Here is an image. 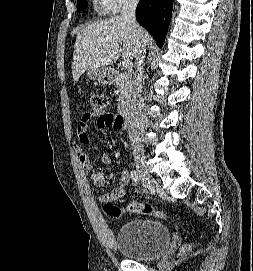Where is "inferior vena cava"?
I'll use <instances>...</instances> for the list:
<instances>
[{"label":"inferior vena cava","instance_id":"inferior-vena-cava-1","mask_svg":"<svg viewBox=\"0 0 253 271\" xmlns=\"http://www.w3.org/2000/svg\"><path fill=\"white\" fill-rule=\"evenodd\" d=\"M139 0H124L121 18L127 22L135 32V37L138 40V54L136 56V71L135 80L132 90V98L127 108L128 118V135L130 138L132 150L134 153H138L142 150L141 138H140V124L142 119V88L144 84L143 78V66L145 59V44H144V32L139 24L136 22L135 12Z\"/></svg>","mask_w":253,"mask_h":271}]
</instances>
